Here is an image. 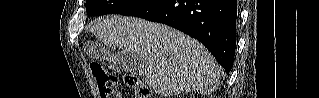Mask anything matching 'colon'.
Listing matches in <instances>:
<instances>
[{"label": "colon", "instance_id": "5ec220e1", "mask_svg": "<svg viewBox=\"0 0 319 98\" xmlns=\"http://www.w3.org/2000/svg\"><path fill=\"white\" fill-rule=\"evenodd\" d=\"M91 72L98 85L100 96L102 98L115 97L119 98L117 90L118 77L115 74L107 72L100 64H91ZM125 84L134 91L135 98H148L150 91L136 76L125 75Z\"/></svg>", "mask_w": 319, "mask_h": 98}]
</instances>
